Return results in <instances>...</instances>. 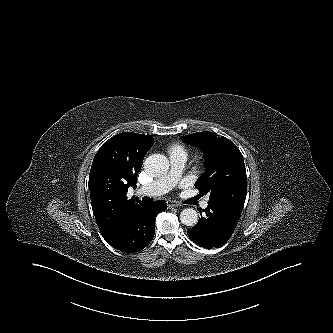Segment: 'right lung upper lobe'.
Masks as SVG:
<instances>
[{
  "instance_id": "obj_1",
  "label": "right lung upper lobe",
  "mask_w": 333,
  "mask_h": 333,
  "mask_svg": "<svg viewBox=\"0 0 333 333\" xmlns=\"http://www.w3.org/2000/svg\"><path fill=\"white\" fill-rule=\"evenodd\" d=\"M151 135L124 132L108 139L96 153L89 174L93 213L107 241L117 231L126 213L142 203L127 190L136 186L143 158L153 145Z\"/></svg>"
}]
</instances>
